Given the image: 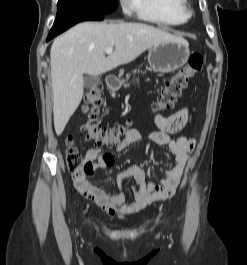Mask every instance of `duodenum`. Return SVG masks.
<instances>
[{
  "instance_id": "duodenum-1",
  "label": "duodenum",
  "mask_w": 247,
  "mask_h": 265,
  "mask_svg": "<svg viewBox=\"0 0 247 265\" xmlns=\"http://www.w3.org/2000/svg\"><path fill=\"white\" fill-rule=\"evenodd\" d=\"M118 79L114 75H108L106 77V85L109 89H113L117 86Z\"/></svg>"
}]
</instances>
